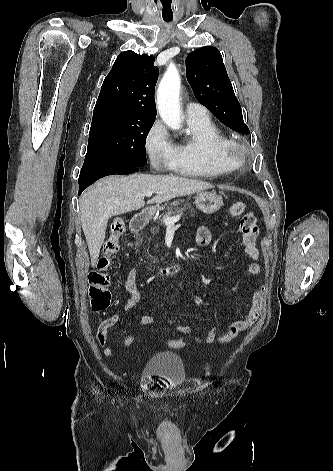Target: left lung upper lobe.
<instances>
[{
	"label": "left lung upper lobe",
	"mask_w": 333,
	"mask_h": 471,
	"mask_svg": "<svg viewBox=\"0 0 333 471\" xmlns=\"http://www.w3.org/2000/svg\"><path fill=\"white\" fill-rule=\"evenodd\" d=\"M186 68L187 80L197 100L231 129L249 134L219 50L205 47L191 52Z\"/></svg>",
	"instance_id": "5c2ea615"
}]
</instances>
